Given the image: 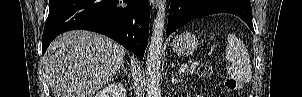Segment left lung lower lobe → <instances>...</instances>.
<instances>
[{"label": "left lung lower lobe", "mask_w": 302, "mask_h": 97, "mask_svg": "<svg viewBox=\"0 0 302 97\" xmlns=\"http://www.w3.org/2000/svg\"><path fill=\"white\" fill-rule=\"evenodd\" d=\"M221 12L239 16L254 32L250 0H171L166 34L194 18Z\"/></svg>", "instance_id": "left-lung-lower-lobe-1"}]
</instances>
